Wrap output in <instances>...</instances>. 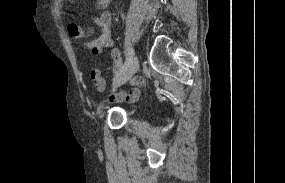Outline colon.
Segmentation results:
<instances>
[{"label": "colon", "instance_id": "obj_1", "mask_svg": "<svg viewBox=\"0 0 285 183\" xmlns=\"http://www.w3.org/2000/svg\"><path fill=\"white\" fill-rule=\"evenodd\" d=\"M70 31H71L72 35L76 36V37L80 36V34H81V31L76 26L71 27Z\"/></svg>", "mask_w": 285, "mask_h": 183}]
</instances>
